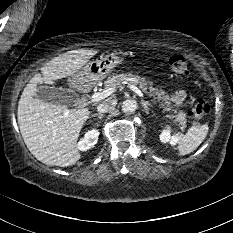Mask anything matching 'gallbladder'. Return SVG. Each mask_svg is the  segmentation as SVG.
Masks as SVG:
<instances>
[{"instance_id": "obj_1", "label": "gallbladder", "mask_w": 233, "mask_h": 233, "mask_svg": "<svg viewBox=\"0 0 233 233\" xmlns=\"http://www.w3.org/2000/svg\"><path fill=\"white\" fill-rule=\"evenodd\" d=\"M37 97L43 101L53 104H70L74 102L76 94L67 93L64 90L59 91L57 89H52V87L40 85L38 87Z\"/></svg>"}]
</instances>
